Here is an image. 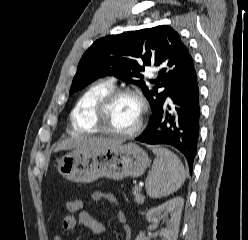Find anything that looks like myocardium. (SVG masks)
<instances>
[{
	"mask_svg": "<svg viewBox=\"0 0 248 240\" xmlns=\"http://www.w3.org/2000/svg\"><path fill=\"white\" fill-rule=\"evenodd\" d=\"M124 95L132 96L137 99L140 104L141 113L137 125L131 131L118 132L108 128L105 125V118L115 99ZM147 115L148 105L146 99L139 90L128 87L113 88L108 91L105 95H103L102 98L98 101L97 105L95 106L93 112V123L95 125L96 130L102 134L111 137L127 139L137 136L142 131Z\"/></svg>",
	"mask_w": 248,
	"mask_h": 240,
	"instance_id": "1",
	"label": "myocardium"
}]
</instances>
